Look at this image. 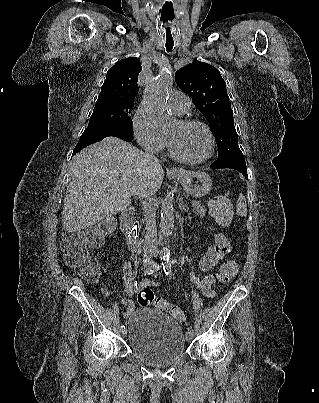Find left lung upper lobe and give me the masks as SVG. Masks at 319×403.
<instances>
[{
    "instance_id": "left-lung-upper-lobe-1",
    "label": "left lung upper lobe",
    "mask_w": 319,
    "mask_h": 403,
    "mask_svg": "<svg viewBox=\"0 0 319 403\" xmlns=\"http://www.w3.org/2000/svg\"><path fill=\"white\" fill-rule=\"evenodd\" d=\"M175 81L192 97L193 104L209 122L219 148L218 158L244 157L238 146L233 111L220 72L207 63L194 61L175 73Z\"/></svg>"
}]
</instances>
